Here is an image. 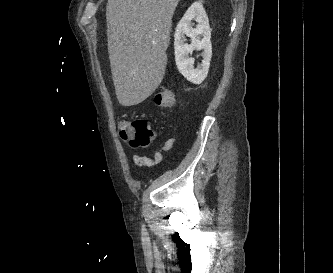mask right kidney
Returning <instances> with one entry per match:
<instances>
[{
    "label": "right kidney",
    "instance_id": "obj_1",
    "mask_svg": "<svg viewBox=\"0 0 333 273\" xmlns=\"http://www.w3.org/2000/svg\"><path fill=\"white\" fill-rule=\"evenodd\" d=\"M196 19V28L192 20ZM185 35L191 44L185 43ZM211 29L202 3L194 2L178 23L174 35L175 61L179 72L190 82L200 84L207 77L212 57ZM194 50H203L202 63L194 68V58L189 57Z\"/></svg>",
    "mask_w": 333,
    "mask_h": 273
}]
</instances>
